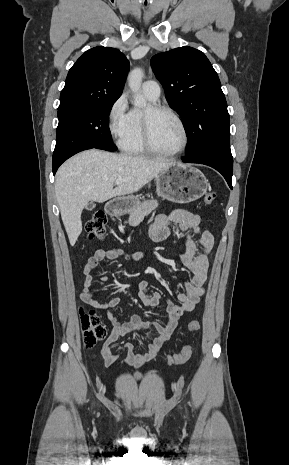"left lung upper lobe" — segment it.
I'll return each instance as SVG.
<instances>
[{
  "label": "left lung upper lobe",
  "mask_w": 289,
  "mask_h": 465,
  "mask_svg": "<svg viewBox=\"0 0 289 465\" xmlns=\"http://www.w3.org/2000/svg\"><path fill=\"white\" fill-rule=\"evenodd\" d=\"M151 66L169 105L185 124V156L218 154L232 158L227 102L218 75L207 57L180 47L152 57Z\"/></svg>",
  "instance_id": "obj_1"
}]
</instances>
